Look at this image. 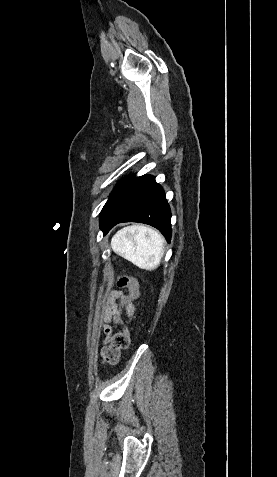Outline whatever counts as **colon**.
Here are the masks:
<instances>
[{"label": "colon", "instance_id": "5ec220e1", "mask_svg": "<svg viewBox=\"0 0 277 477\" xmlns=\"http://www.w3.org/2000/svg\"><path fill=\"white\" fill-rule=\"evenodd\" d=\"M119 286L128 287L129 293L126 294L127 298L131 297L132 303H139L142 292L140 286L134 277L123 275L118 279ZM129 305L128 299L118 301L116 310L113 311L112 324L120 326L123 323L121 312L127 310ZM130 343V333L127 327H124L121 331L113 334L110 338V343L102 349V362L104 364L114 365L118 362L120 352L128 348Z\"/></svg>", "mask_w": 277, "mask_h": 477}]
</instances>
